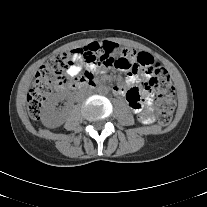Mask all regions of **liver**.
<instances>
[{"mask_svg":"<svg viewBox=\"0 0 207 207\" xmlns=\"http://www.w3.org/2000/svg\"><path fill=\"white\" fill-rule=\"evenodd\" d=\"M28 87H29V84H28V86H27V88H26V92L28 91Z\"/></svg>","mask_w":207,"mask_h":207,"instance_id":"obj_1","label":"liver"}]
</instances>
